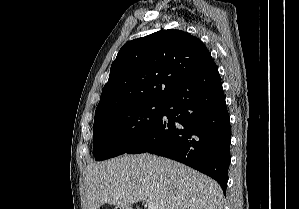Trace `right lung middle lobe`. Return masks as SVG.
<instances>
[{"mask_svg": "<svg viewBox=\"0 0 299 209\" xmlns=\"http://www.w3.org/2000/svg\"><path fill=\"white\" fill-rule=\"evenodd\" d=\"M164 102L123 105L95 116L93 151L95 160L109 159L126 151L161 116Z\"/></svg>", "mask_w": 299, "mask_h": 209, "instance_id": "right-lung-middle-lobe-1", "label": "right lung middle lobe"}]
</instances>
